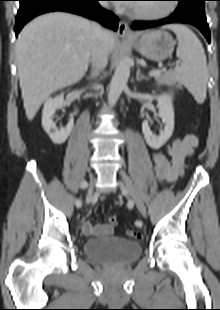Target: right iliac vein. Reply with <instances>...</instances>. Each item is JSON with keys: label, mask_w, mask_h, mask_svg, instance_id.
Returning <instances> with one entry per match:
<instances>
[{"label": "right iliac vein", "mask_w": 220, "mask_h": 310, "mask_svg": "<svg viewBox=\"0 0 220 310\" xmlns=\"http://www.w3.org/2000/svg\"><path fill=\"white\" fill-rule=\"evenodd\" d=\"M93 182H94V179L91 180V184H90V187L87 191V194H86V198H85V201H86V204H89L92 199H93Z\"/></svg>", "instance_id": "1"}]
</instances>
